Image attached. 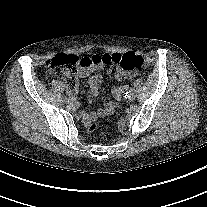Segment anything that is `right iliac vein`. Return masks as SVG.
<instances>
[{"mask_svg": "<svg viewBox=\"0 0 207 207\" xmlns=\"http://www.w3.org/2000/svg\"><path fill=\"white\" fill-rule=\"evenodd\" d=\"M66 104H70L71 102H72V100L71 99H66Z\"/></svg>", "mask_w": 207, "mask_h": 207, "instance_id": "obj_1", "label": "right iliac vein"}]
</instances>
